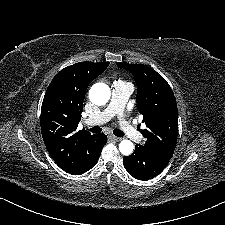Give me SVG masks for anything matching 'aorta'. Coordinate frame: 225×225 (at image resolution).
I'll return each mask as SVG.
<instances>
[{
    "label": "aorta",
    "instance_id": "1",
    "mask_svg": "<svg viewBox=\"0 0 225 225\" xmlns=\"http://www.w3.org/2000/svg\"><path fill=\"white\" fill-rule=\"evenodd\" d=\"M111 96L110 88L105 83H96L89 90L90 101L98 106L106 104ZM134 144L130 140H122L119 143L121 154L128 156L133 153Z\"/></svg>",
    "mask_w": 225,
    "mask_h": 225
}]
</instances>
